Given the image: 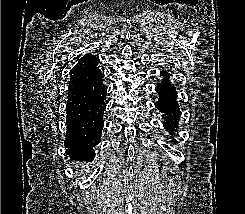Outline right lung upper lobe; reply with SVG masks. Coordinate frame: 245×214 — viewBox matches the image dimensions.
<instances>
[{
  "label": "right lung upper lobe",
  "mask_w": 245,
  "mask_h": 214,
  "mask_svg": "<svg viewBox=\"0 0 245 214\" xmlns=\"http://www.w3.org/2000/svg\"><path fill=\"white\" fill-rule=\"evenodd\" d=\"M98 63L99 59L92 54H86L80 58L79 74L84 82L94 80L101 74V70L97 67Z\"/></svg>",
  "instance_id": "right-lung-upper-lobe-1"
}]
</instances>
